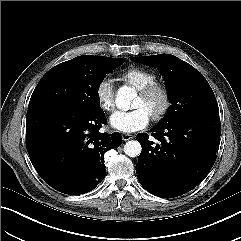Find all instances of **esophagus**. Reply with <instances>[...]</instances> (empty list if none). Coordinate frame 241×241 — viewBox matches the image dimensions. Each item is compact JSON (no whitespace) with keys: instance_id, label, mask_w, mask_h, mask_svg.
Masks as SVG:
<instances>
[{"instance_id":"34e87169","label":"esophagus","mask_w":241,"mask_h":241,"mask_svg":"<svg viewBox=\"0 0 241 241\" xmlns=\"http://www.w3.org/2000/svg\"><path fill=\"white\" fill-rule=\"evenodd\" d=\"M134 138V136L132 135V134H129V133H123L122 134V139L124 140V141H128V140H131V139H133Z\"/></svg>"}]
</instances>
